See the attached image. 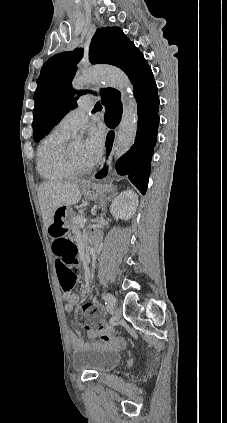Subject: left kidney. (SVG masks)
Instances as JSON below:
<instances>
[{"label":"left kidney","instance_id":"5707ae66","mask_svg":"<svg viewBox=\"0 0 227 423\" xmlns=\"http://www.w3.org/2000/svg\"><path fill=\"white\" fill-rule=\"evenodd\" d=\"M138 206V196L133 190H125L121 192L114 202L110 206V211L115 217H121V219H131L134 215Z\"/></svg>","mask_w":227,"mask_h":423}]
</instances>
